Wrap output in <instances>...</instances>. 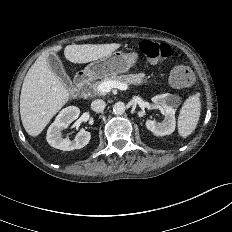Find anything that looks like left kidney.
Instances as JSON below:
<instances>
[{"mask_svg": "<svg viewBox=\"0 0 232 232\" xmlns=\"http://www.w3.org/2000/svg\"><path fill=\"white\" fill-rule=\"evenodd\" d=\"M151 100L155 105L164 109L165 119L161 123L155 120H147L145 123L146 128L156 136H164L173 133L176 126L175 112L179 103V97L166 93L156 95L152 97Z\"/></svg>", "mask_w": 232, "mask_h": 232, "instance_id": "5707ae66", "label": "left kidney"}]
</instances>
